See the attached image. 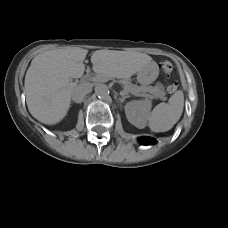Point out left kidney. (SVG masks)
Listing matches in <instances>:
<instances>
[{"instance_id": "5707ae66", "label": "left kidney", "mask_w": 228, "mask_h": 228, "mask_svg": "<svg viewBox=\"0 0 228 228\" xmlns=\"http://www.w3.org/2000/svg\"><path fill=\"white\" fill-rule=\"evenodd\" d=\"M150 109L151 102L148 100L131 101L125 105V114L131 124L142 129L146 126Z\"/></svg>"}]
</instances>
